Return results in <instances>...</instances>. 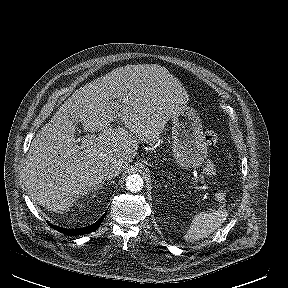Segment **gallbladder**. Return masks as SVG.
<instances>
[{"mask_svg":"<svg viewBox=\"0 0 288 288\" xmlns=\"http://www.w3.org/2000/svg\"><path fill=\"white\" fill-rule=\"evenodd\" d=\"M71 119L74 121V123H77V122H78L77 118L74 117V116H72Z\"/></svg>","mask_w":288,"mask_h":288,"instance_id":"obj_1","label":"gallbladder"}]
</instances>
